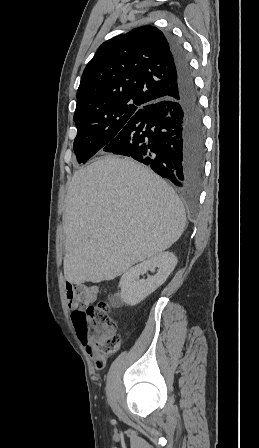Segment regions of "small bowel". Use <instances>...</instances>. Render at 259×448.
I'll return each instance as SVG.
<instances>
[{
    "instance_id": "small-bowel-1",
    "label": "small bowel",
    "mask_w": 259,
    "mask_h": 448,
    "mask_svg": "<svg viewBox=\"0 0 259 448\" xmlns=\"http://www.w3.org/2000/svg\"><path fill=\"white\" fill-rule=\"evenodd\" d=\"M66 296H67V302L68 306L73 309V313L76 310V305L73 299V288L72 285L67 283L66 285ZM86 352L87 354L94 360L96 369L100 370L103 369L106 364V357L104 354H102L98 348H96L92 344L86 345Z\"/></svg>"
}]
</instances>
